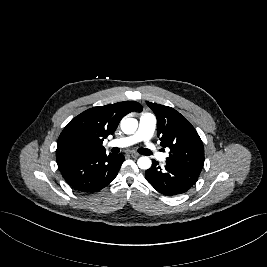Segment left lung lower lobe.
<instances>
[{"instance_id":"obj_1","label":"left lung lower lobe","mask_w":267,"mask_h":267,"mask_svg":"<svg viewBox=\"0 0 267 267\" xmlns=\"http://www.w3.org/2000/svg\"><path fill=\"white\" fill-rule=\"evenodd\" d=\"M199 174L170 164L162 168L153 160L151 168L145 172V177L158 192L173 196L188 191L196 183Z\"/></svg>"}]
</instances>
